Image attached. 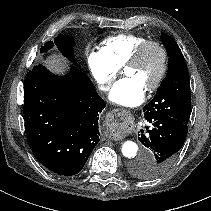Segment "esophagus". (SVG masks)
<instances>
[{
  "label": "esophagus",
  "mask_w": 211,
  "mask_h": 211,
  "mask_svg": "<svg viewBox=\"0 0 211 211\" xmlns=\"http://www.w3.org/2000/svg\"><path fill=\"white\" fill-rule=\"evenodd\" d=\"M125 110H122V109H114L112 112L113 113H115V115H120L122 112H124ZM113 139H115V140H118V139H120V137H113Z\"/></svg>",
  "instance_id": "34e87169"
}]
</instances>
